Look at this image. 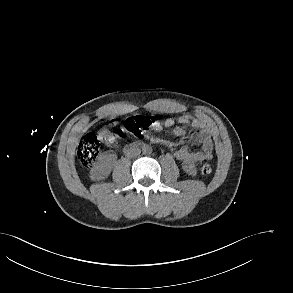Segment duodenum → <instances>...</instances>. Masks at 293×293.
Listing matches in <instances>:
<instances>
[{
  "label": "duodenum",
  "instance_id": "obj_1",
  "mask_svg": "<svg viewBox=\"0 0 293 293\" xmlns=\"http://www.w3.org/2000/svg\"><path fill=\"white\" fill-rule=\"evenodd\" d=\"M145 143L140 141V142H137V143H132V144H128L124 147V152L125 153H129L131 152L132 150L136 149V148H139L141 146H143Z\"/></svg>",
  "mask_w": 293,
  "mask_h": 293
}]
</instances>
